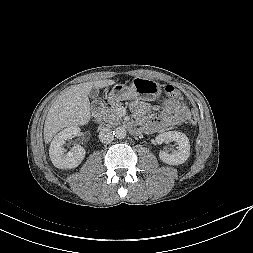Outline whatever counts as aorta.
I'll return each mask as SVG.
<instances>
[{"mask_svg":"<svg viewBox=\"0 0 253 253\" xmlns=\"http://www.w3.org/2000/svg\"><path fill=\"white\" fill-rule=\"evenodd\" d=\"M113 134L117 139H124L126 137L127 132L124 127L119 126L114 130Z\"/></svg>","mask_w":253,"mask_h":253,"instance_id":"obj_1","label":"aorta"}]
</instances>
